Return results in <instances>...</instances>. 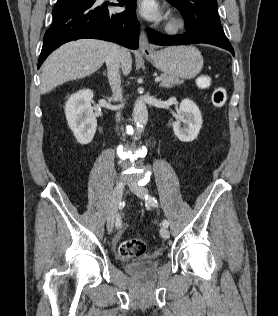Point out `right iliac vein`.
I'll use <instances>...</instances> for the list:
<instances>
[{
	"mask_svg": "<svg viewBox=\"0 0 278 316\" xmlns=\"http://www.w3.org/2000/svg\"><path fill=\"white\" fill-rule=\"evenodd\" d=\"M122 195H123V185L120 183H117L113 190V194H112V198L110 202V208L107 215V230L109 233H111L113 230L117 209L121 202Z\"/></svg>",
	"mask_w": 278,
	"mask_h": 316,
	"instance_id": "1",
	"label": "right iliac vein"
}]
</instances>
